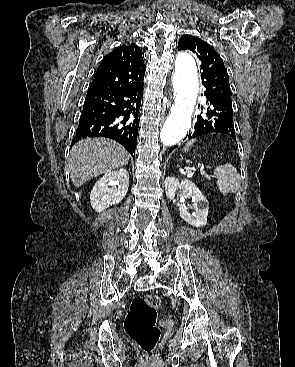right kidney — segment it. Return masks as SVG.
<instances>
[{
	"label": "right kidney",
	"mask_w": 295,
	"mask_h": 367,
	"mask_svg": "<svg viewBox=\"0 0 295 367\" xmlns=\"http://www.w3.org/2000/svg\"><path fill=\"white\" fill-rule=\"evenodd\" d=\"M129 174L126 169L105 174L94 185L90 194V204L96 212L119 203L128 191Z\"/></svg>",
	"instance_id": "obj_1"
}]
</instances>
